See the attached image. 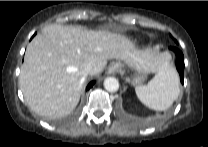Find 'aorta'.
<instances>
[{"instance_id": "obj_1", "label": "aorta", "mask_w": 208, "mask_h": 147, "mask_svg": "<svg viewBox=\"0 0 208 147\" xmlns=\"http://www.w3.org/2000/svg\"><path fill=\"white\" fill-rule=\"evenodd\" d=\"M104 88L109 92H116L119 89V82L114 77H108L104 80Z\"/></svg>"}]
</instances>
